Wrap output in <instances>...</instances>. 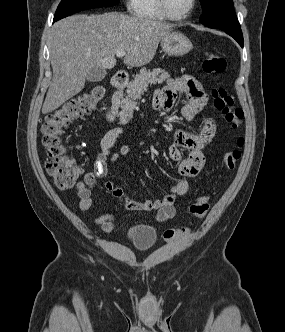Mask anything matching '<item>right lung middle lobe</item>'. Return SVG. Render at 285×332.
Here are the masks:
<instances>
[{"label": "right lung middle lobe", "instance_id": "obj_1", "mask_svg": "<svg viewBox=\"0 0 285 332\" xmlns=\"http://www.w3.org/2000/svg\"><path fill=\"white\" fill-rule=\"evenodd\" d=\"M118 2L119 0H62L56 10L54 18L59 20L82 10L114 6Z\"/></svg>", "mask_w": 285, "mask_h": 332}]
</instances>
